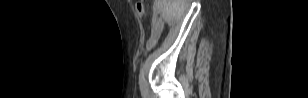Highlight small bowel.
I'll return each instance as SVG.
<instances>
[{
	"label": "small bowel",
	"instance_id": "c3829d8e",
	"mask_svg": "<svg viewBox=\"0 0 308 98\" xmlns=\"http://www.w3.org/2000/svg\"><path fill=\"white\" fill-rule=\"evenodd\" d=\"M161 34V29L153 27L150 39L148 41V49H153L157 43L159 36Z\"/></svg>",
	"mask_w": 308,
	"mask_h": 98
}]
</instances>
